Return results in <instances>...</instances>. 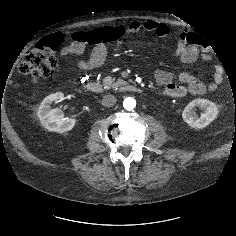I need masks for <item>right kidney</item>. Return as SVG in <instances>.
<instances>
[{
	"instance_id": "ca27d5eb",
	"label": "right kidney",
	"mask_w": 236,
	"mask_h": 236,
	"mask_svg": "<svg viewBox=\"0 0 236 236\" xmlns=\"http://www.w3.org/2000/svg\"><path fill=\"white\" fill-rule=\"evenodd\" d=\"M64 94L56 92L47 96L38 109V117L41 124L49 131L64 133L71 130L76 124L74 118H64V114L60 108L51 109L54 102L62 101Z\"/></svg>"
}]
</instances>
